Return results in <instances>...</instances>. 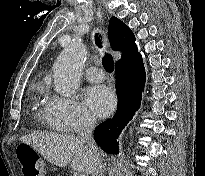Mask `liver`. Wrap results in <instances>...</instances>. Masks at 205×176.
I'll use <instances>...</instances> for the list:
<instances>
[{
  "label": "liver",
  "instance_id": "liver-1",
  "mask_svg": "<svg viewBox=\"0 0 205 176\" xmlns=\"http://www.w3.org/2000/svg\"><path fill=\"white\" fill-rule=\"evenodd\" d=\"M20 141L34 148L51 164L66 167L71 162L74 171L91 174L94 155L73 135L35 133L22 136Z\"/></svg>",
  "mask_w": 205,
  "mask_h": 176
}]
</instances>
